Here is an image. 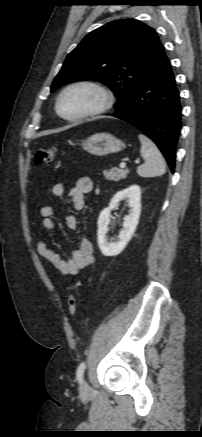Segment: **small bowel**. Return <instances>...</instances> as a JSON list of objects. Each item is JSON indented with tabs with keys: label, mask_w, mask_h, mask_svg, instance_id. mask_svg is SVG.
<instances>
[{
	"label": "small bowel",
	"mask_w": 202,
	"mask_h": 437,
	"mask_svg": "<svg viewBox=\"0 0 202 437\" xmlns=\"http://www.w3.org/2000/svg\"><path fill=\"white\" fill-rule=\"evenodd\" d=\"M93 190V182L89 177H80L74 185L67 186L64 183H56L51 188V194L55 197L67 195L72 208L81 211L86 207L85 196ZM55 211L51 206H44L40 209L42 217V227L46 231H52L55 228L54 222ZM66 225L70 231L77 227V219L74 215L69 214L66 217ZM36 251L48 261L57 271L65 276L76 275L81 269L91 265L94 261V247L91 240L82 238L78 246L72 249L71 256L64 259L55 250L48 247L43 241L36 242Z\"/></svg>",
	"instance_id": "c3829d8e"
}]
</instances>
